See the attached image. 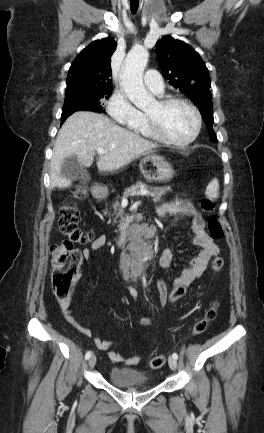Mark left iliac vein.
<instances>
[{"label":"left iliac vein","mask_w":264,"mask_h":433,"mask_svg":"<svg viewBox=\"0 0 264 433\" xmlns=\"http://www.w3.org/2000/svg\"><path fill=\"white\" fill-rule=\"evenodd\" d=\"M168 363H169V366H170V368H171L172 370H175V369L177 368V361H176V359L173 358L172 356H170V357L168 358Z\"/></svg>","instance_id":"left-iliac-vein-1"}]
</instances>
